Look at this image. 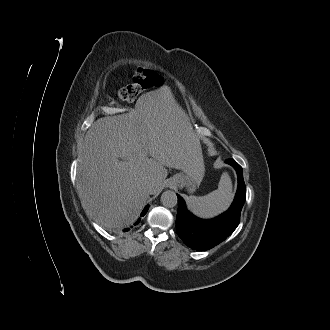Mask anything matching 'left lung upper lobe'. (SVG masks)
I'll return each mask as SVG.
<instances>
[{
	"instance_id": "left-lung-upper-lobe-1",
	"label": "left lung upper lobe",
	"mask_w": 330,
	"mask_h": 330,
	"mask_svg": "<svg viewBox=\"0 0 330 330\" xmlns=\"http://www.w3.org/2000/svg\"><path fill=\"white\" fill-rule=\"evenodd\" d=\"M245 199H246V195H244L243 198H242L243 202L245 201Z\"/></svg>"
}]
</instances>
